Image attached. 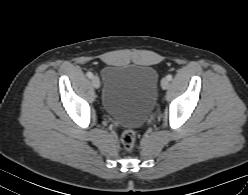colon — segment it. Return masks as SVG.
<instances>
[{
    "instance_id": "colon-1",
    "label": "colon",
    "mask_w": 248,
    "mask_h": 195,
    "mask_svg": "<svg viewBox=\"0 0 248 195\" xmlns=\"http://www.w3.org/2000/svg\"><path fill=\"white\" fill-rule=\"evenodd\" d=\"M136 133L132 129L125 130L121 136L122 147L126 152H131L135 147Z\"/></svg>"
}]
</instances>
